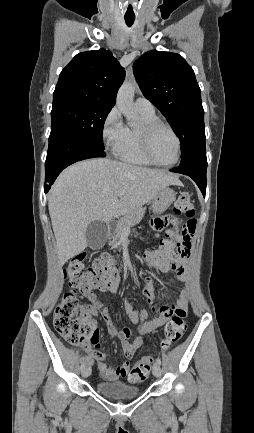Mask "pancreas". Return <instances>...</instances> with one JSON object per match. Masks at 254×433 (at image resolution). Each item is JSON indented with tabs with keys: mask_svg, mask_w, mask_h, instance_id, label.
Listing matches in <instances>:
<instances>
[{
	"mask_svg": "<svg viewBox=\"0 0 254 433\" xmlns=\"http://www.w3.org/2000/svg\"><path fill=\"white\" fill-rule=\"evenodd\" d=\"M144 213V208H138L122 216L117 222L115 235L113 237V240L110 242V245L118 244L123 235V232L130 227L138 224L142 220Z\"/></svg>",
	"mask_w": 254,
	"mask_h": 433,
	"instance_id": "cf45deb5",
	"label": "pancreas"
}]
</instances>
